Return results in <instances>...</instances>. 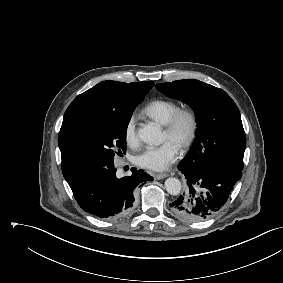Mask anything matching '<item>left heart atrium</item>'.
I'll return each mask as SVG.
<instances>
[{
  "label": "left heart atrium",
  "mask_w": 283,
  "mask_h": 283,
  "mask_svg": "<svg viewBox=\"0 0 283 283\" xmlns=\"http://www.w3.org/2000/svg\"><path fill=\"white\" fill-rule=\"evenodd\" d=\"M179 156V147L172 141L160 146H148L135 157V163L153 171H163L174 163Z\"/></svg>",
  "instance_id": "left-heart-atrium-1"
}]
</instances>
